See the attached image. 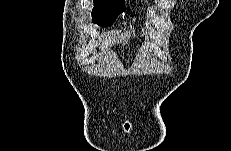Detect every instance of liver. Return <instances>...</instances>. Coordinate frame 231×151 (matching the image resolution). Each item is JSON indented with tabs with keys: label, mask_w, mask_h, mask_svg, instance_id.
Listing matches in <instances>:
<instances>
[{
	"label": "liver",
	"mask_w": 231,
	"mask_h": 151,
	"mask_svg": "<svg viewBox=\"0 0 231 151\" xmlns=\"http://www.w3.org/2000/svg\"><path fill=\"white\" fill-rule=\"evenodd\" d=\"M133 35H135L133 33ZM131 37L130 32L126 31L125 33L119 34V32H109L105 39L102 42L101 45V54L105 53L108 49V46H112V44L118 43L120 40V43L125 42L128 43V39ZM124 44V43H123Z\"/></svg>",
	"instance_id": "1"
}]
</instances>
